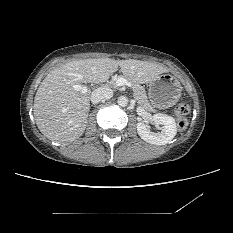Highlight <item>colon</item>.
Masks as SVG:
<instances>
[{"mask_svg":"<svg viewBox=\"0 0 233 233\" xmlns=\"http://www.w3.org/2000/svg\"><path fill=\"white\" fill-rule=\"evenodd\" d=\"M190 112V106L186 103H179L176 105L174 113L178 129L183 130L188 125L187 116Z\"/></svg>","mask_w":233,"mask_h":233,"instance_id":"5ec220e1","label":"colon"}]
</instances>
